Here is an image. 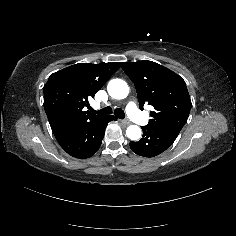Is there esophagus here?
I'll use <instances>...</instances> for the list:
<instances>
[{"label":"esophagus","mask_w":236,"mask_h":236,"mask_svg":"<svg viewBox=\"0 0 236 236\" xmlns=\"http://www.w3.org/2000/svg\"><path fill=\"white\" fill-rule=\"evenodd\" d=\"M120 122L124 123L125 125H129V124H130V121H128V120H125V119H123V120H120Z\"/></svg>","instance_id":"esophagus-1"}]
</instances>
